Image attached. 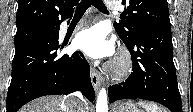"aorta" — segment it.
<instances>
[{
	"mask_svg": "<svg viewBox=\"0 0 193 112\" xmlns=\"http://www.w3.org/2000/svg\"><path fill=\"white\" fill-rule=\"evenodd\" d=\"M96 112H108V97L104 88H102L98 94Z\"/></svg>",
	"mask_w": 193,
	"mask_h": 112,
	"instance_id": "1",
	"label": "aorta"
}]
</instances>
